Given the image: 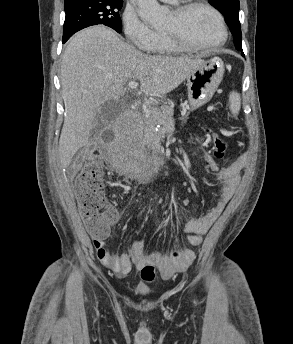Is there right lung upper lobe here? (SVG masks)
<instances>
[{
    "mask_svg": "<svg viewBox=\"0 0 293 344\" xmlns=\"http://www.w3.org/2000/svg\"><path fill=\"white\" fill-rule=\"evenodd\" d=\"M75 1H78V0H65V4L70 3V2H75Z\"/></svg>",
    "mask_w": 293,
    "mask_h": 344,
    "instance_id": "obj_1",
    "label": "right lung upper lobe"
}]
</instances>
